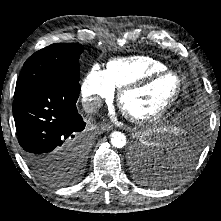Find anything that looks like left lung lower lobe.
<instances>
[{"instance_id":"obj_1","label":"left lung lower lobe","mask_w":221,"mask_h":221,"mask_svg":"<svg viewBox=\"0 0 221 221\" xmlns=\"http://www.w3.org/2000/svg\"><path fill=\"white\" fill-rule=\"evenodd\" d=\"M174 128L165 133L163 139H153L145 150L139 146L132 149L135 176L138 168H144V184L163 187L173 183L192 167L199 148L203 121H187L180 116L173 122ZM138 180V179H137Z\"/></svg>"}]
</instances>
